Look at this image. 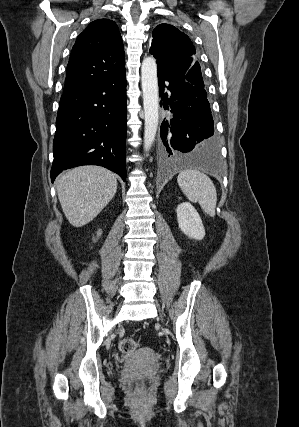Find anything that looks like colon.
Masks as SVG:
<instances>
[{"label":"colon","mask_w":299,"mask_h":427,"mask_svg":"<svg viewBox=\"0 0 299 427\" xmlns=\"http://www.w3.org/2000/svg\"><path fill=\"white\" fill-rule=\"evenodd\" d=\"M119 349L125 354L132 353L136 350V343L131 338H123L119 343Z\"/></svg>","instance_id":"1"}]
</instances>
